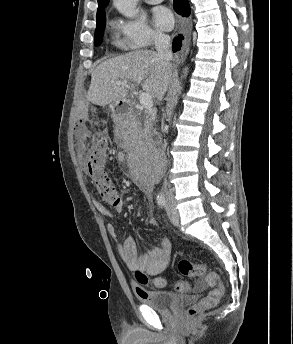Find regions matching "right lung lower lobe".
I'll use <instances>...</instances> for the list:
<instances>
[{"instance_id":"obj_1","label":"right lung lower lobe","mask_w":293,"mask_h":344,"mask_svg":"<svg viewBox=\"0 0 293 344\" xmlns=\"http://www.w3.org/2000/svg\"><path fill=\"white\" fill-rule=\"evenodd\" d=\"M174 8L177 13L182 16H188L190 14V7L188 0H174ZM183 39L182 35H179L173 42V51L176 52L181 47V41Z\"/></svg>"}]
</instances>
